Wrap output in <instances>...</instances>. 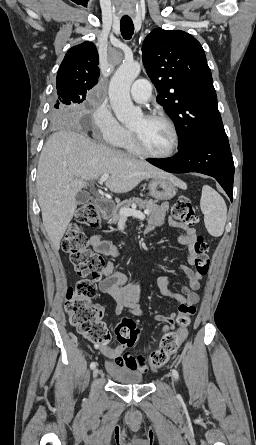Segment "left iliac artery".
Wrapping results in <instances>:
<instances>
[{
	"label": "left iliac artery",
	"mask_w": 256,
	"mask_h": 445,
	"mask_svg": "<svg viewBox=\"0 0 256 445\" xmlns=\"http://www.w3.org/2000/svg\"><path fill=\"white\" fill-rule=\"evenodd\" d=\"M172 374L174 375V377H175L176 379H178V377H179V373H178V371H177L176 369H173V370H172Z\"/></svg>",
	"instance_id": "44dca946"
}]
</instances>
